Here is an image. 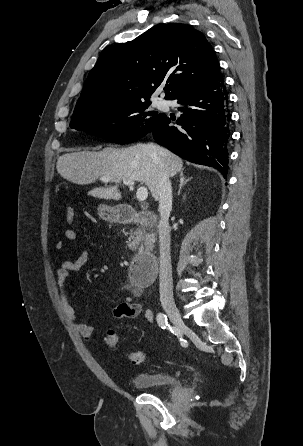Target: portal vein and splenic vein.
I'll return each mask as SVG.
<instances>
[{
    "instance_id": "1",
    "label": "portal vein and splenic vein",
    "mask_w": 303,
    "mask_h": 446,
    "mask_svg": "<svg viewBox=\"0 0 303 446\" xmlns=\"http://www.w3.org/2000/svg\"><path fill=\"white\" fill-rule=\"evenodd\" d=\"M101 180L104 182H108V181H111L112 178L110 176H103V177H101ZM123 183L127 186H133L135 184V182L130 179H123ZM136 196H137L138 201H140V202L145 201L148 197L147 188L144 186L139 187L137 189Z\"/></svg>"
}]
</instances>
